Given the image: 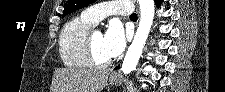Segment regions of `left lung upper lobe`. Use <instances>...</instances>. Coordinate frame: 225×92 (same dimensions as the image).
Here are the masks:
<instances>
[{
    "mask_svg": "<svg viewBox=\"0 0 225 92\" xmlns=\"http://www.w3.org/2000/svg\"><path fill=\"white\" fill-rule=\"evenodd\" d=\"M95 1L96 0H69L62 17H65L78 9L86 7Z\"/></svg>",
    "mask_w": 225,
    "mask_h": 92,
    "instance_id": "obj_1",
    "label": "left lung upper lobe"
}]
</instances>
